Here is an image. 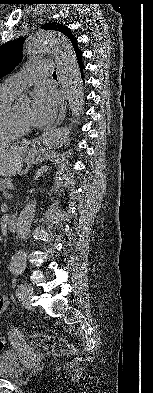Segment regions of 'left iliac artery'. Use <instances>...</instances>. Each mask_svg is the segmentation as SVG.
<instances>
[{
  "instance_id": "1",
  "label": "left iliac artery",
  "mask_w": 153,
  "mask_h": 393,
  "mask_svg": "<svg viewBox=\"0 0 153 393\" xmlns=\"http://www.w3.org/2000/svg\"><path fill=\"white\" fill-rule=\"evenodd\" d=\"M27 285H20V286H18V288H17V290H16V296L18 297V298H22L23 297V293H24V291L27 289Z\"/></svg>"
}]
</instances>
